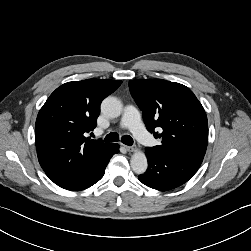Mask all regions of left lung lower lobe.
<instances>
[{"instance_id": "left-lung-lower-lobe-1", "label": "left lung lower lobe", "mask_w": 251, "mask_h": 251, "mask_svg": "<svg viewBox=\"0 0 251 251\" xmlns=\"http://www.w3.org/2000/svg\"><path fill=\"white\" fill-rule=\"evenodd\" d=\"M148 170L139 176L146 186L165 191L187 182L199 169L201 162L177 155L146 151Z\"/></svg>"}]
</instances>
